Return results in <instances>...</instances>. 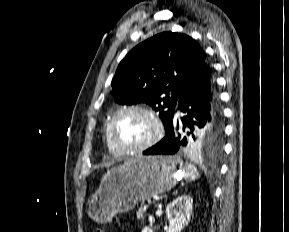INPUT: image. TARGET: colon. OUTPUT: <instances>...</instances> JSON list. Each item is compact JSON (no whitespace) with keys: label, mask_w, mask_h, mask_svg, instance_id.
<instances>
[{"label":"colon","mask_w":289,"mask_h":232,"mask_svg":"<svg viewBox=\"0 0 289 232\" xmlns=\"http://www.w3.org/2000/svg\"><path fill=\"white\" fill-rule=\"evenodd\" d=\"M93 232H104L102 229H95Z\"/></svg>","instance_id":"1"}]
</instances>
